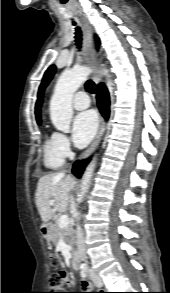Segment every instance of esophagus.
<instances>
[{"label":"esophagus","mask_w":170,"mask_h":293,"mask_svg":"<svg viewBox=\"0 0 170 293\" xmlns=\"http://www.w3.org/2000/svg\"><path fill=\"white\" fill-rule=\"evenodd\" d=\"M83 24H84L85 56H86L88 64L93 69H95V67L100 63L101 60L99 58H97L96 53H95V45H94V38H93V34H92V28L86 20H83ZM92 79L95 83H99L101 80V77L96 71H93ZM104 130H105V121H104V118L101 116L100 117V125H99L98 132L96 134V137L94 138L91 145L83 153L82 159L86 158L87 156H89L92 153V151L95 149V147L97 146V144L101 140L103 133H104Z\"/></svg>","instance_id":"obj_1"}]
</instances>
